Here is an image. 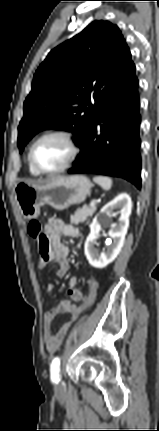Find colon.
Segmentation results:
<instances>
[{
    "mask_svg": "<svg viewBox=\"0 0 159 431\" xmlns=\"http://www.w3.org/2000/svg\"><path fill=\"white\" fill-rule=\"evenodd\" d=\"M28 233L34 239L43 236L42 225L38 220H31L29 222ZM87 284H89L87 297L83 299V302H81V305H78L76 310L70 311V314L74 317H80V315H83L84 312L91 309L92 303L94 304L98 300L96 290L99 288V285L95 274L92 273L87 277Z\"/></svg>",
    "mask_w": 159,
    "mask_h": 431,
    "instance_id": "colon-1",
    "label": "colon"
}]
</instances>
